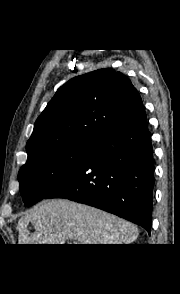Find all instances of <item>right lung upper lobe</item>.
<instances>
[{"instance_id": "cb5924a9", "label": "right lung upper lobe", "mask_w": 180, "mask_h": 294, "mask_svg": "<svg viewBox=\"0 0 180 294\" xmlns=\"http://www.w3.org/2000/svg\"><path fill=\"white\" fill-rule=\"evenodd\" d=\"M131 81L111 68L65 83L34 124L28 158L43 148L73 140L97 141L142 105Z\"/></svg>"}]
</instances>
